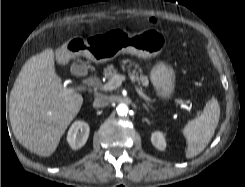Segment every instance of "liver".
Wrapping results in <instances>:
<instances>
[{
    "instance_id": "6515ba94",
    "label": "liver",
    "mask_w": 245,
    "mask_h": 187,
    "mask_svg": "<svg viewBox=\"0 0 245 187\" xmlns=\"http://www.w3.org/2000/svg\"><path fill=\"white\" fill-rule=\"evenodd\" d=\"M83 97L62 85L55 53L45 49L23 65L10 93L9 117L15 138L30 152L52 155L81 109Z\"/></svg>"
}]
</instances>
